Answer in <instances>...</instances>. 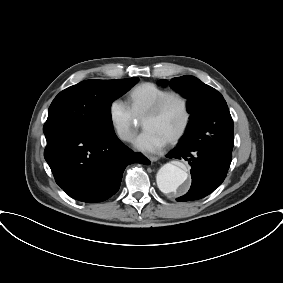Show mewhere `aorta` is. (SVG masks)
Wrapping results in <instances>:
<instances>
[{"instance_id":"762f6f07","label":"aorta","mask_w":283,"mask_h":283,"mask_svg":"<svg viewBox=\"0 0 283 283\" xmlns=\"http://www.w3.org/2000/svg\"><path fill=\"white\" fill-rule=\"evenodd\" d=\"M187 179V168H181L173 163L164 164L156 176L158 188L163 193H178Z\"/></svg>"}]
</instances>
